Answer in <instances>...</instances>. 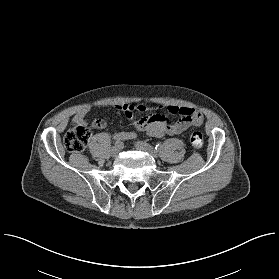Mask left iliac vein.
Listing matches in <instances>:
<instances>
[{
	"instance_id": "1",
	"label": "left iliac vein",
	"mask_w": 279,
	"mask_h": 279,
	"mask_svg": "<svg viewBox=\"0 0 279 279\" xmlns=\"http://www.w3.org/2000/svg\"><path fill=\"white\" fill-rule=\"evenodd\" d=\"M136 148L140 151L148 153L153 158L158 157L157 151L152 146H150L142 141L136 142Z\"/></svg>"
}]
</instances>
